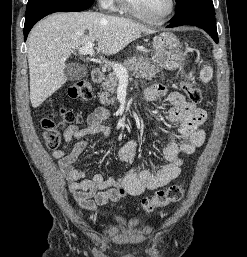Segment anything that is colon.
<instances>
[{
  "mask_svg": "<svg viewBox=\"0 0 247 257\" xmlns=\"http://www.w3.org/2000/svg\"><path fill=\"white\" fill-rule=\"evenodd\" d=\"M182 90L188 95L193 103H200L202 100L201 91L192 83L184 81L181 84ZM68 96L71 99L81 101L89 100L92 97V86L88 81L79 80L74 82L68 88ZM61 118V123L57 119ZM82 116L71 110L61 107L56 111L48 113L41 122L43 129V138L48 148L56 149L61 142L62 124L80 123ZM185 192L182 185H172L166 189L158 190L152 197L142 200V208L145 212L150 213L158 208L176 203L181 200Z\"/></svg>",
  "mask_w": 247,
  "mask_h": 257,
  "instance_id": "5ec220e1",
  "label": "colon"
}]
</instances>
